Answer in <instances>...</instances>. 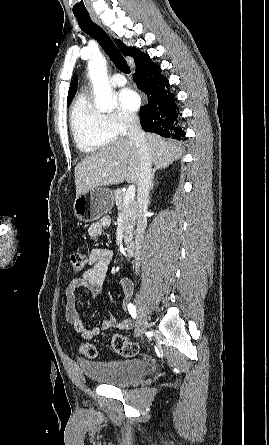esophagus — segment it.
<instances>
[{"label": "esophagus", "instance_id": "1", "mask_svg": "<svg viewBox=\"0 0 269 445\" xmlns=\"http://www.w3.org/2000/svg\"><path fill=\"white\" fill-rule=\"evenodd\" d=\"M93 20L97 23H99L98 19L95 16H92Z\"/></svg>", "mask_w": 269, "mask_h": 445}]
</instances>
